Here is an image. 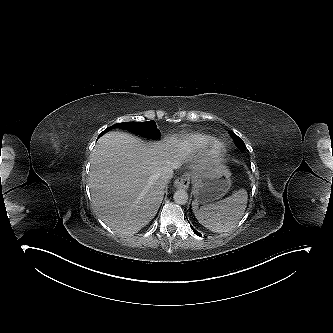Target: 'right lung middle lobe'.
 Instances as JSON below:
<instances>
[{"label":"right lung middle lobe","instance_id":"dd1d6c3e","mask_svg":"<svg viewBox=\"0 0 333 333\" xmlns=\"http://www.w3.org/2000/svg\"><path fill=\"white\" fill-rule=\"evenodd\" d=\"M114 128H120L123 130H127L130 132L136 133L144 138H154V139L160 138V132L157 129L156 123L153 120L147 121V122L117 123V124L112 125L111 127H108L104 131L108 132Z\"/></svg>","mask_w":333,"mask_h":333}]
</instances>
